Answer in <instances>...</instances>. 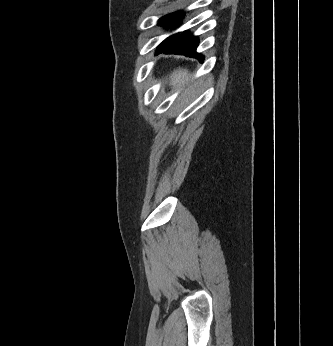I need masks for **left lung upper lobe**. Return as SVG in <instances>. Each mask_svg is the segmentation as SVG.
I'll return each instance as SVG.
<instances>
[{
    "label": "left lung upper lobe",
    "instance_id": "obj_1",
    "mask_svg": "<svg viewBox=\"0 0 333 346\" xmlns=\"http://www.w3.org/2000/svg\"><path fill=\"white\" fill-rule=\"evenodd\" d=\"M182 17H183V13L178 11V12L166 15L165 17H162L161 19H159L158 24L166 25L168 28L176 27L180 24ZM173 36L167 38L166 40L172 38Z\"/></svg>",
    "mask_w": 333,
    "mask_h": 346
}]
</instances>
